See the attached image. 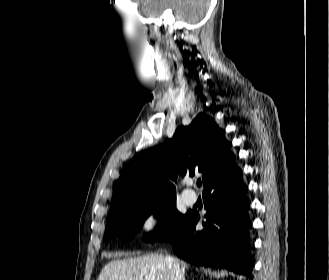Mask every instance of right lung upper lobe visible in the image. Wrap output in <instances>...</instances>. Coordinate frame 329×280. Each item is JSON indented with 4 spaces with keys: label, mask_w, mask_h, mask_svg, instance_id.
<instances>
[{
    "label": "right lung upper lobe",
    "mask_w": 329,
    "mask_h": 280,
    "mask_svg": "<svg viewBox=\"0 0 329 280\" xmlns=\"http://www.w3.org/2000/svg\"><path fill=\"white\" fill-rule=\"evenodd\" d=\"M231 143L214 119L199 113L189 126L177 128L172 139L135 156L114 188L110 212L144 197H176L177 173L201 172L204 188L235 163Z\"/></svg>",
    "instance_id": "cb5924a9"
}]
</instances>
